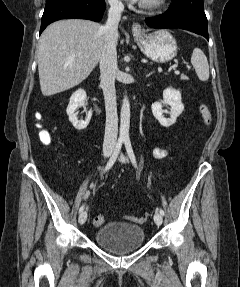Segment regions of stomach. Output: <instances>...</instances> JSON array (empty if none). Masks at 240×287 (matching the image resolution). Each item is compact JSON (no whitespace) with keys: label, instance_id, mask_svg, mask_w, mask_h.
Returning a JSON list of instances; mask_svg holds the SVG:
<instances>
[{"label":"stomach","instance_id":"stomach-1","mask_svg":"<svg viewBox=\"0 0 240 287\" xmlns=\"http://www.w3.org/2000/svg\"><path fill=\"white\" fill-rule=\"evenodd\" d=\"M134 40L143 54L156 62H168L177 54L176 40L166 29L134 33Z\"/></svg>","mask_w":240,"mask_h":287}]
</instances>
